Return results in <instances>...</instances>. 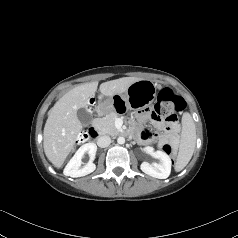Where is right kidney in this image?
<instances>
[{
	"instance_id": "1",
	"label": "right kidney",
	"mask_w": 238,
	"mask_h": 238,
	"mask_svg": "<svg viewBox=\"0 0 238 238\" xmlns=\"http://www.w3.org/2000/svg\"><path fill=\"white\" fill-rule=\"evenodd\" d=\"M97 151V146L94 143H86L82 145L68 162L64 169V175L71 177H82L92 173L96 169V165L93 163ZM88 153L90 160L81 168L82 157L85 153Z\"/></svg>"
}]
</instances>
